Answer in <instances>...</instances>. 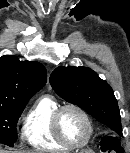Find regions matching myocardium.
Here are the masks:
<instances>
[{
	"instance_id": "obj_1",
	"label": "myocardium",
	"mask_w": 130,
	"mask_h": 153,
	"mask_svg": "<svg viewBox=\"0 0 130 153\" xmlns=\"http://www.w3.org/2000/svg\"><path fill=\"white\" fill-rule=\"evenodd\" d=\"M69 109L77 111L84 118V120L87 124L88 132H87L86 138L80 144H74V143L69 142L64 137V135L62 134L61 129H60L61 115L63 114L64 111L69 110ZM51 124H52L53 133H54L55 137L57 138V140L65 147L69 148L70 150H78V149L84 148L85 146L88 145V143L90 142L91 137L93 135V123H92V120H91L89 114L81 106H79L77 104L69 103V104L60 105L54 111V113L52 115Z\"/></svg>"
}]
</instances>
